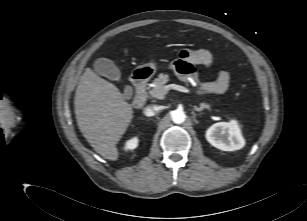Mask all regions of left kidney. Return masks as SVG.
Segmentation results:
<instances>
[{
	"instance_id": "obj_1",
	"label": "left kidney",
	"mask_w": 307,
	"mask_h": 221,
	"mask_svg": "<svg viewBox=\"0 0 307 221\" xmlns=\"http://www.w3.org/2000/svg\"><path fill=\"white\" fill-rule=\"evenodd\" d=\"M207 141L223 151H234L244 147L245 141L236 120L218 122L206 131Z\"/></svg>"
}]
</instances>
